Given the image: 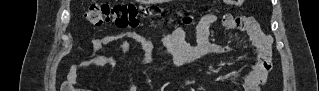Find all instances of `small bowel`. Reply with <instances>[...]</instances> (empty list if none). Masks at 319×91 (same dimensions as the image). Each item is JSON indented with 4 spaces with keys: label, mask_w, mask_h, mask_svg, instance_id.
Instances as JSON below:
<instances>
[{
    "label": "small bowel",
    "mask_w": 319,
    "mask_h": 91,
    "mask_svg": "<svg viewBox=\"0 0 319 91\" xmlns=\"http://www.w3.org/2000/svg\"><path fill=\"white\" fill-rule=\"evenodd\" d=\"M217 15L210 13L202 16L193 28L194 44L187 42V29L177 28L171 35L162 37L164 46L170 56L171 63L181 66L187 63H199L209 56H223L235 50L232 46L221 45L210 41L211 26L216 22ZM223 26L228 30H239L254 49V61L248 73L244 76L242 89L244 91H259L268 75L261 60V53L269 38L263 33L257 22L245 16L226 14L222 20ZM130 40H134L142 53L143 63H150L154 58V49L150 37L136 31L108 34L93 41V54L73 65L70 72V82H75L82 70L90 68H112L116 66L117 59L112 56L96 55L95 52L112 44H118L123 55L129 59L131 53ZM131 83L125 91H136Z\"/></svg>",
    "instance_id": "small-bowel-1"
}]
</instances>
